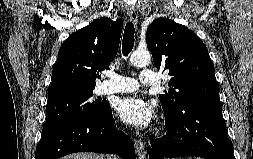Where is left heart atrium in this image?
<instances>
[{"mask_svg":"<svg viewBox=\"0 0 253 159\" xmlns=\"http://www.w3.org/2000/svg\"><path fill=\"white\" fill-rule=\"evenodd\" d=\"M116 111L123 122L140 129L149 128L155 116L154 105L140 96L120 100Z\"/></svg>","mask_w":253,"mask_h":159,"instance_id":"1","label":"left heart atrium"}]
</instances>
